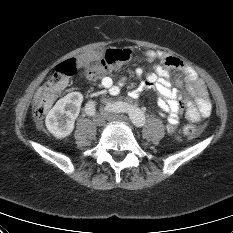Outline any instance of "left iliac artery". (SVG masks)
Masks as SVG:
<instances>
[{
	"mask_svg": "<svg viewBox=\"0 0 233 233\" xmlns=\"http://www.w3.org/2000/svg\"><path fill=\"white\" fill-rule=\"evenodd\" d=\"M106 109L110 112L116 113H128L130 119L137 127H141L145 124V116L143 112L125 102H115V103H108Z\"/></svg>",
	"mask_w": 233,
	"mask_h": 233,
	"instance_id": "left-iliac-artery-1",
	"label": "left iliac artery"
}]
</instances>
